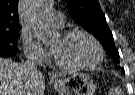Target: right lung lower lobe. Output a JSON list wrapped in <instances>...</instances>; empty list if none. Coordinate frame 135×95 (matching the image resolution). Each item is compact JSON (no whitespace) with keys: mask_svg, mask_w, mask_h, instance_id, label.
Segmentation results:
<instances>
[{"mask_svg":"<svg viewBox=\"0 0 135 95\" xmlns=\"http://www.w3.org/2000/svg\"><path fill=\"white\" fill-rule=\"evenodd\" d=\"M16 52L14 53H0V57H10V56H15Z\"/></svg>","mask_w":135,"mask_h":95,"instance_id":"1","label":"right lung lower lobe"}]
</instances>
